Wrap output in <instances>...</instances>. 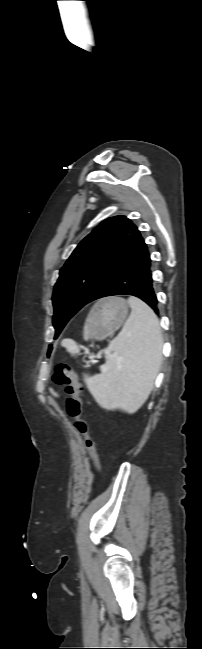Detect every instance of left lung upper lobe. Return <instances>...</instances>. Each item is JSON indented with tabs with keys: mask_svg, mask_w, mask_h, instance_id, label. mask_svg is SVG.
Here are the masks:
<instances>
[{
	"mask_svg": "<svg viewBox=\"0 0 202 649\" xmlns=\"http://www.w3.org/2000/svg\"><path fill=\"white\" fill-rule=\"evenodd\" d=\"M139 234L137 227L125 216L111 217L76 247L54 286L55 338L69 319L93 300L99 286Z\"/></svg>",
	"mask_w": 202,
	"mask_h": 649,
	"instance_id": "1",
	"label": "left lung upper lobe"
}]
</instances>
